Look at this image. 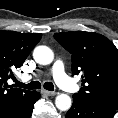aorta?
<instances>
[{
    "label": "aorta",
    "instance_id": "762f6f07",
    "mask_svg": "<svg viewBox=\"0 0 118 118\" xmlns=\"http://www.w3.org/2000/svg\"><path fill=\"white\" fill-rule=\"evenodd\" d=\"M34 60L41 65H48L54 59L53 51L47 46H37L33 51ZM56 107L61 111H67L71 108L72 101L67 94H58L55 99Z\"/></svg>",
    "mask_w": 118,
    "mask_h": 118
}]
</instances>
